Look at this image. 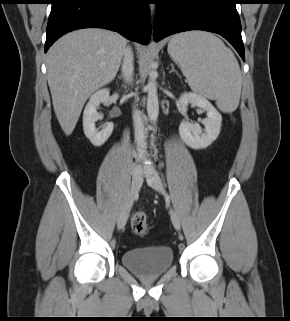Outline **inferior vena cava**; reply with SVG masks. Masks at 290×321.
I'll return each mask as SVG.
<instances>
[{"mask_svg": "<svg viewBox=\"0 0 290 321\" xmlns=\"http://www.w3.org/2000/svg\"><path fill=\"white\" fill-rule=\"evenodd\" d=\"M122 74L123 79L126 83H131L133 81V53L130 47H126L124 50V57L122 61ZM133 126H134V135L135 142L137 145L138 156H143L145 153V127L144 122L141 117V113L138 110L133 112Z\"/></svg>", "mask_w": 290, "mask_h": 321, "instance_id": "inferior-vena-cava-1", "label": "inferior vena cava"}]
</instances>
